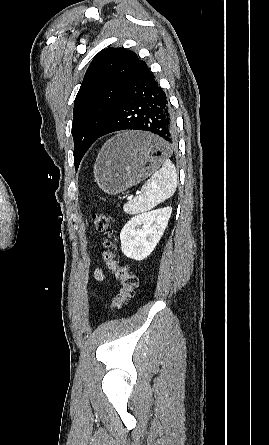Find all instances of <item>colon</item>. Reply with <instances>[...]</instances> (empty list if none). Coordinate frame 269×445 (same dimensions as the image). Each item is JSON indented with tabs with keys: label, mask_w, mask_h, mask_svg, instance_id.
<instances>
[{
	"label": "colon",
	"mask_w": 269,
	"mask_h": 445,
	"mask_svg": "<svg viewBox=\"0 0 269 445\" xmlns=\"http://www.w3.org/2000/svg\"><path fill=\"white\" fill-rule=\"evenodd\" d=\"M94 227L97 231H108L111 227V219L108 215L103 213H94L92 215ZM103 261L107 269L113 274L118 282L119 289L117 294L113 297L109 308H121L128 301L133 298L135 288L138 284L137 277L130 271L126 265H121L117 260V255L114 248V242L110 235L104 242Z\"/></svg>",
	"instance_id": "obj_1"
}]
</instances>
